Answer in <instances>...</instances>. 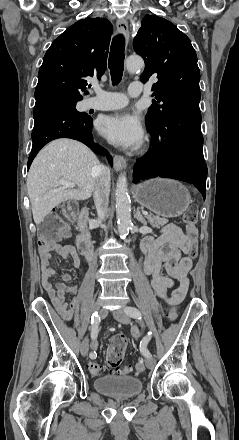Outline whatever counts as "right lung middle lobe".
I'll use <instances>...</instances> for the list:
<instances>
[{
  "mask_svg": "<svg viewBox=\"0 0 239 440\" xmlns=\"http://www.w3.org/2000/svg\"><path fill=\"white\" fill-rule=\"evenodd\" d=\"M50 99H57V100H60V101L66 102V103L70 104L72 107L75 108L76 103H77L78 101H80L82 98L54 97V98H50ZM76 112H77L78 114H83V115L86 114V113L78 112L77 110H76Z\"/></svg>",
  "mask_w": 239,
  "mask_h": 440,
  "instance_id": "obj_1",
  "label": "right lung middle lobe"
}]
</instances>
